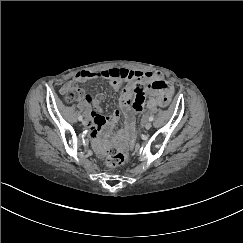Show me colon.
I'll list each match as a JSON object with an SVG mask.
<instances>
[{"label": "colon", "instance_id": "obj_1", "mask_svg": "<svg viewBox=\"0 0 243 243\" xmlns=\"http://www.w3.org/2000/svg\"><path fill=\"white\" fill-rule=\"evenodd\" d=\"M80 94V91L75 86H70L66 93L65 98L71 102L75 100ZM133 91L125 90L121 97V104L127 118L126 128L118 134L117 141L119 146H112L106 152V163L110 167H119L127 162V156L123 151V147L130 141L133 135ZM169 103V102H168Z\"/></svg>", "mask_w": 243, "mask_h": 243}]
</instances>
